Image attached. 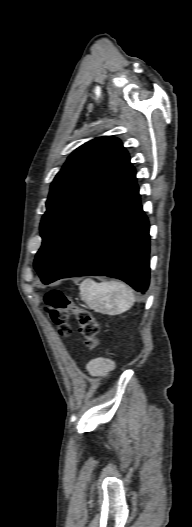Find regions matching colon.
<instances>
[{
	"instance_id": "1",
	"label": "colon",
	"mask_w": 192,
	"mask_h": 527,
	"mask_svg": "<svg viewBox=\"0 0 192 527\" xmlns=\"http://www.w3.org/2000/svg\"><path fill=\"white\" fill-rule=\"evenodd\" d=\"M45 304L48 316L60 334L64 336L71 334L72 328L69 318L71 314H74L84 344L90 349L99 345V324L88 310L78 307L68 296L57 289L51 290L45 295Z\"/></svg>"
}]
</instances>
